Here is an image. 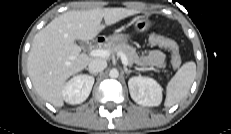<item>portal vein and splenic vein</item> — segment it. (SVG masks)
<instances>
[{
  "label": "portal vein and splenic vein",
  "mask_w": 231,
  "mask_h": 134,
  "mask_svg": "<svg viewBox=\"0 0 231 134\" xmlns=\"http://www.w3.org/2000/svg\"><path fill=\"white\" fill-rule=\"evenodd\" d=\"M110 54H111V52L107 49H95V50H92L90 52V56H92V57L107 58L110 56ZM119 56L121 58L123 65L127 66L128 65V59H127L126 55L124 53L120 52Z\"/></svg>",
  "instance_id": "18ae733b"
}]
</instances>
